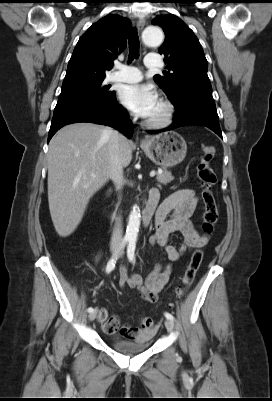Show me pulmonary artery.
Segmentation results:
<instances>
[{"instance_id": "pulmonary-artery-1", "label": "pulmonary artery", "mask_w": 272, "mask_h": 401, "mask_svg": "<svg viewBox=\"0 0 272 401\" xmlns=\"http://www.w3.org/2000/svg\"><path fill=\"white\" fill-rule=\"evenodd\" d=\"M145 66L148 68H156L159 66V58L157 55H148L145 58ZM115 71H113L108 80L111 82L121 83H134L138 82L142 78V73L139 69L133 66H128L121 63L114 65Z\"/></svg>"}]
</instances>
